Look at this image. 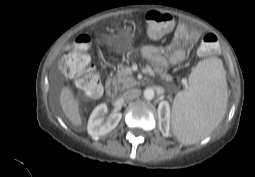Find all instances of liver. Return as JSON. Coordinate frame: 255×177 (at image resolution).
Returning a JSON list of instances; mask_svg holds the SVG:
<instances>
[{"label": "liver", "mask_w": 255, "mask_h": 177, "mask_svg": "<svg viewBox=\"0 0 255 177\" xmlns=\"http://www.w3.org/2000/svg\"><path fill=\"white\" fill-rule=\"evenodd\" d=\"M60 105L67 119L74 126H81L82 119L79 112V103L68 87H63L60 94Z\"/></svg>", "instance_id": "liver-1"}]
</instances>
